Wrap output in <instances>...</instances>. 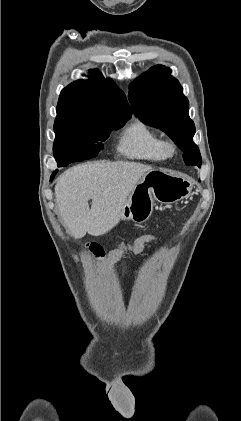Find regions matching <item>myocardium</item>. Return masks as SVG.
I'll return each mask as SVG.
<instances>
[{
  "label": "myocardium",
  "mask_w": 241,
  "mask_h": 421,
  "mask_svg": "<svg viewBox=\"0 0 241 421\" xmlns=\"http://www.w3.org/2000/svg\"><path fill=\"white\" fill-rule=\"evenodd\" d=\"M163 152L166 157H172L177 152V146L172 140L163 141Z\"/></svg>",
  "instance_id": "1"
}]
</instances>
